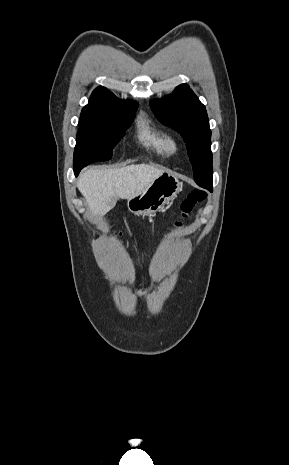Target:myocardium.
Here are the masks:
<instances>
[{
	"label": "myocardium",
	"mask_w": 289,
	"mask_h": 465,
	"mask_svg": "<svg viewBox=\"0 0 289 465\" xmlns=\"http://www.w3.org/2000/svg\"><path fill=\"white\" fill-rule=\"evenodd\" d=\"M179 150V142L176 137L168 136L166 140V151L168 154H175Z\"/></svg>",
	"instance_id": "obj_1"
}]
</instances>
